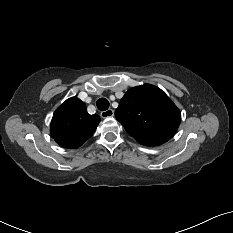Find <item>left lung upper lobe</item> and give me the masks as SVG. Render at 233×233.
Segmentation results:
<instances>
[{
	"label": "left lung upper lobe",
	"mask_w": 233,
	"mask_h": 233,
	"mask_svg": "<svg viewBox=\"0 0 233 233\" xmlns=\"http://www.w3.org/2000/svg\"><path fill=\"white\" fill-rule=\"evenodd\" d=\"M115 116L126 132L144 146H158L170 140L181 121V113L170 98L149 84L129 89Z\"/></svg>",
	"instance_id": "left-lung-upper-lobe-1"
}]
</instances>
